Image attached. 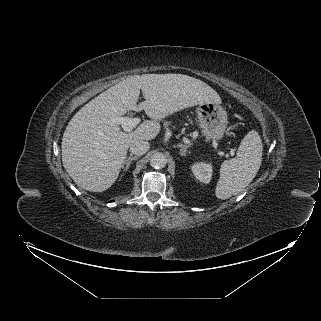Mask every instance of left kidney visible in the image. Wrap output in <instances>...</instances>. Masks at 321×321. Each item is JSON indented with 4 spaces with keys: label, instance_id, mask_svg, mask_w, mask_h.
<instances>
[{
    "label": "left kidney",
    "instance_id": "left-kidney-1",
    "mask_svg": "<svg viewBox=\"0 0 321 321\" xmlns=\"http://www.w3.org/2000/svg\"><path fill=\"white\" fill-rule=\"evenodd\" d=\"M191 170L197 180L203 183H209L212 178V165L206 162L194 163Z\"/></svg>",
    "mask_w": 321,
    "mask_h": 321
}]
</instances>
